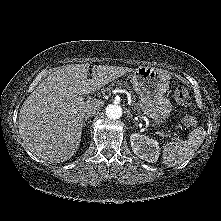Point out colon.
Instances as JSON below:
<instances>
[{
	"mask_svg": "<svg viewBox=\"0 0 221 221\" xmlns=\"http://www.w3.org/2000/svg\"><path fill=\"white\" fill-rule=\"evenodd\" d=\"M175 100L181 106L190 104L189 91L184 86H178L175 90ZM182 123L187 128H192L196 125V120L192 115L186 114L182 118Z\"/></svg>",
	"mask_w": 221,
	"mask_h": 221,
	"instance_id": "5ec220e1",
	"label": "colon"
}]
</instances>
